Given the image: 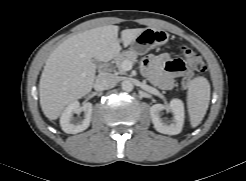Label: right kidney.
Returning <instances> with one entry per match:
<instances>
[{
	"mask_svg": "<svg viewBox=\"0 0 246 181\" xmlns=\"http://www.w3.org/2000/svg\"><path fill=\"white\" fill-rule=\"evenodd\" d=\"M93 106L87 102L80 106L78 101L71 102L60 117V126L65 133L76 134L86 130L91 121ZM84 112V119H74L73 114Z\"/></svg>",
	"mask_w": 246,
	"mask_h": 181,
	"instance_id": "1",
	"label": "right kidney"
}]
</instances>
